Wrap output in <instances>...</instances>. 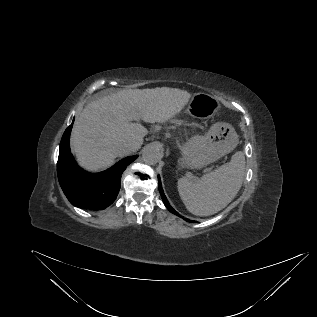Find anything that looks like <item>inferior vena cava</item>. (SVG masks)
<instances>
[{
  "mask_svg": "<svg viewBox=\"0 0 317 317\" xmlns=\"http://www.w3.org/2000/svg\"><path fill=\"white\" fill-rule=\"evenodd\" d=\"M137 150V146L132 142H124L118 147V151L120 154L126 155Z\"/></svg>",
  "mask_w": 317,
  "mask_h": 317,
  "instance_id": "obj_1",
  "label": "inferior vena cava"
}]
</instances>
